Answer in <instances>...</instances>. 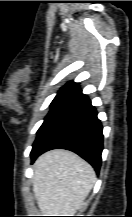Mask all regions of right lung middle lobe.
I'll return each instance as SVG.
<instances>
[{
	"label": "right lung middle lobe",
	"instance_id": "right-lung-middle-lobe-1",
	"mask_svg": "<svg viewBox=\"0 0 132 217\" xmlns=\"http://www.w3.org/2000/svg\"><path fill=\"white\" fill-rule=\"evenodd\" d=\"M76 99L73 95L68 94H60L58 93L54 100L52 101L50 107V112L46 116L42 126L39 128L37 132V138L36 140L41 136V134L44 132L46 127L49 125V123L55 118V116L63 110L67 105L72 103Z\"/></svg>",
	"mask_w": 132,
	"mask_h": 217
}]
</instances>
